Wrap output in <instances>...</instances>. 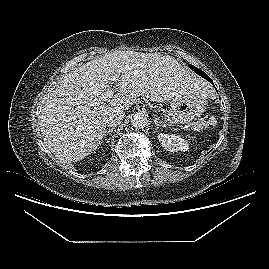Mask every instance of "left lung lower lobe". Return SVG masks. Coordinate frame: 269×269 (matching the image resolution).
<instances>
[{"label":"left lung lower lobe","mask_w":269,"mask_h":269,"mask_svg":"<svg viewBox=\"0 0 269 269\" xmlns=\"http://www.w3.org/2000/svg\"><path fill=\"white\" fill-rule=\"evenodd\" d=\"M195 73H197L198 75H200L201 77H204L205 79H207L210 83L213 84V81L211 80V78L205 74L202 70L199 69H193ZM214 85V84H213Z\"/></svg>","instance_id":"obj_1"}]
</instances>
